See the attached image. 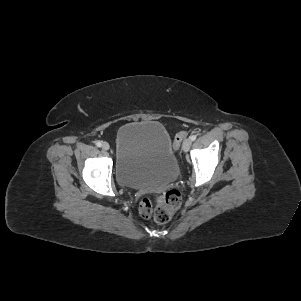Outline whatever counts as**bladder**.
<instances>
[{"label":"bladder","instance_id":"31cf9c89","mask_svg":"<svg viewBox=\"0 0 301 301\" xmlns=\"http://www.w3.org/2000/svg\"><path fill=\"white\" fill-rule=\"evenodd\" d=\"M171 137L155 121L129 122L116 136L115 175L118 183L135 189L159 188L178 175Z\"/></svg>","mask_w":301,"mask_h":301}]
</instances>
